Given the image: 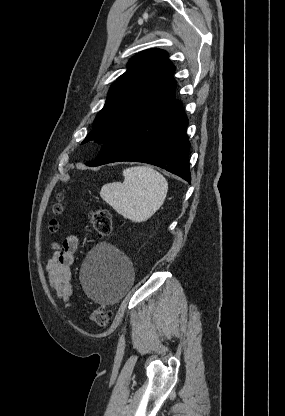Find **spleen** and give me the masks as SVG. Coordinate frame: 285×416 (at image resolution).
Instances as JSON below:
<instances>
[{
    "label": "spleen",
    "mask_w": 285,
    "mask_h": 416,
    "mask_svg": "<svg viewBox=\"0 0 285 416\" xmlns=\"http://www.w3.org/2000/svg\"><path fill=\"white\" fill-rule=\"evenodd\" d=\"M121 182L105 184L100 190L104 202L131 222H145L161 208L168 192V182L151 166L123 170Z\"/></svg>",
    "instance_id": "spleen-1"
}]
</instances>
